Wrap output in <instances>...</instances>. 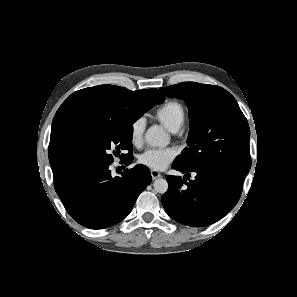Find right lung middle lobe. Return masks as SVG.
<instances>
[{
    "instance_id": "1",
    "label": "right lung middle lobe",
    "mask_w": 297,
    "mask_h": 297,
    "mask_svg": "<svg viewBox=\"0 0 297 297\" xmlns=\"http://www.w3.org/2000/svg\"><path fill=\"white\" fill-rule=\"evenodd\" d=\"M159 100L143 96L135 101L133 114L129 118L116 120H99L76 127L68 136L65 144V154L70 167L74 170L111 164L113 154L120 150L129 151L123 157L132 155V124Z\"/></svg>"
}]
</instances>
